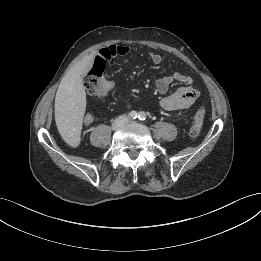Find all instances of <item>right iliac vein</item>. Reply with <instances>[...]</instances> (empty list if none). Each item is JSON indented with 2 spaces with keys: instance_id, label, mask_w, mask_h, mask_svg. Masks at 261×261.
Here are the masks:
<instances>
[{
  "instance_id": "63e3f726",
  "label": "right iliac vein",
  "mask_w": 261,
  "mask_h": 261,
  "mask_svg": "<svg viewBox=\"0 0 261 261\" xmlns=\"http://www.w3.org/2000/svg\"><path fill=\"white\" fill-rule=\"evenodd\" d=\"M123 121L122 120H118L116 122H114V124L112 125L113 129H117L118 127H120L122 125Z\"/></svg>"
}]
</instances>
